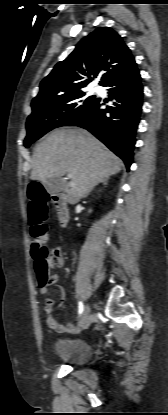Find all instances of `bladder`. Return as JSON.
Instances as JSON below:
<instances>
[{"mask_svg": "<svg viewBox=\"0 0 168 415\" xmlns=\"http://www.w3.org/2000/svg\"><path fill=\"white\" fill-rule=\"evenodd\" d=\"M56 354L60 361L72 366H80L90 360L92 351L84 341L61 340L56 345Z\"/></svg>", "mask_w": 168, "mask_h": 415, "instance_id": "bladder-1", "label": "bladder"}]
</instances>
